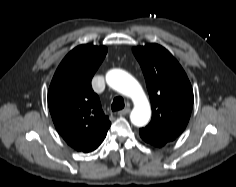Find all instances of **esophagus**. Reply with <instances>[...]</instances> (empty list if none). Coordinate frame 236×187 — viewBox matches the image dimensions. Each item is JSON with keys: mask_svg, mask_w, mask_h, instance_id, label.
I'll use <instances>...</instances> for the list:
<instances>
[{"mask_svg": "<svg viewBox=\"0 0 236 187\" xmlns=\"http://www.w3.org/2000/svg\"><path fill=\"white\" fill-rule=\"evenodd\" d=\"M129 112H130V108H125V109H123V110H120V111L118 112V115H119V116H123V115L128 114Z\"/></svg>", "mask_w": 236, "mask_h": 187, "instance_id": "1", "label": "esophagus"}]
</instances>
